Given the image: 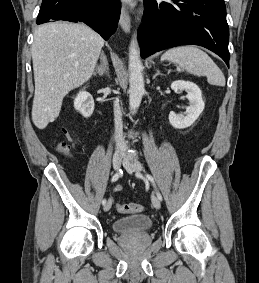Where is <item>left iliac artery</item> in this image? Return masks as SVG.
<instances>
[{
    "instance_id": "44dca946",
    "label": "left iliac artery",
    "mask_w": 259,
    "mask_h": 283,
    "mask_svg": "<svg viewBox=\"0 0 259 283\" xmlns=\"http://www.w3.org/2000/svg\"><path fill=\"white\" fill-rule=\"evenodd\" d=\"M146 177L152 182L153 186L156 189V195L158 197L159 200H162V195L160 194V192L157 190L155 182H154V178L150 175V174H146Z\"/></svg>"
}]
</instances>
